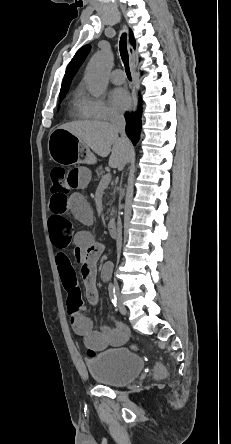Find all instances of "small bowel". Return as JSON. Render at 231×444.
Here are the masks:
<instances>
[{"label": "small bowel", "mask_w": 231, "mask_h": 444, "mask_svg": "<svg viewBox=\"0 0 231 444\" xmlns=\"http://www.w3.org/2000/svg\"><path fill=\"white\" fill-rule=\"evenodd\" d=\"M91 171L85 166L72 168L67 174V184L70 190H80L88 186L91 181ZM51 216L48 220L50 237L57 248L56 263L64 289L67 292V308L71 326L74 332L83 337L85 345L95 351H101L109 346H120L129 337L128 329L123 325L113 328L104 326L94 329L92 320L86 314L77 284L76 272L68 248L72 246V256L81 265V276L85 284L87 299L96 304L99 294L96 287V263L100 258L103 247L98 244L87 231H75L72 223L65 216L70 212L78 220L89 223L93 219L90 204L86 198L75 192L70 197L50 200ZM103 274L108 277L110 265L103 267Z\"/></svg>", "instance_id": "obj_1"}]
</instances>
